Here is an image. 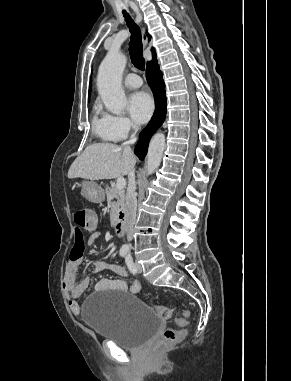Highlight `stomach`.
<instances>
[{"mask_svg":"<svg viewBox=\"0 0 291 381\" xmlns=\"http://www.w3.org/2000/svg\"><path fill=\"white\" fill-rule=\"evenodd\" d=\"M82 194L90 202L101 203L105 199L104 191L94 181L82 182Z\"/></svg>","mask_w":291,"mask_h":381,"instance_id":"obj_1","label":"stomach"}]
</instances>
